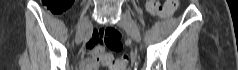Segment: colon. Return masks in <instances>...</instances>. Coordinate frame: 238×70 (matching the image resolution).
I'll return each instance as SVG.
<instances>
[{"mask_svg": "<svg viewBox=\"0 0 238 70\" xmlns=\"http://www.w3.org/2000/svg\"><path fill=\"white\" fill-rule=\"evenodd\" d=\"M48 8L54 14H62L71 5V0H47ZM178 6L177 0H167L163 7H160L159 2L149 1L148 9L152 13H159L162 16L171 14ZM95 45L101 54H105V48L118 51L122 49L120 42L121 33L113 27L101 28L93 33ZM127 61L125 58L121 59H107L106 64L110 70H125Z\"/></svg>", "mask_w": 238, "mask_h": 70, "instance_id": "obj_1", "label": "colon"}]
</instances>
